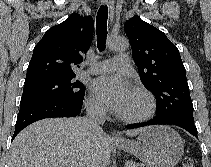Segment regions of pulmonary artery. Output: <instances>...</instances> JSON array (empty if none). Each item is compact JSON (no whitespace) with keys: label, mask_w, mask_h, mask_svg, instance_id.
I'll return each mask as SVG.
<instances>
[{"label":"pulmonary artery","mask_w":211,"mask_h":167,"mask_svg":"<svg viewBox=\"0 0 211 167\" xmlns=\"http://www.w3.org/2000/svg\"><path fill=\"white\" fill-rule=\"evenodd\" d=\"M131 69L130 58L126 54H119L114 58L98 62L95 66L87 70L90 74H105L115 70Z\"/></svg>","instance_id":"e3ab8cb5"}]
</instances>
